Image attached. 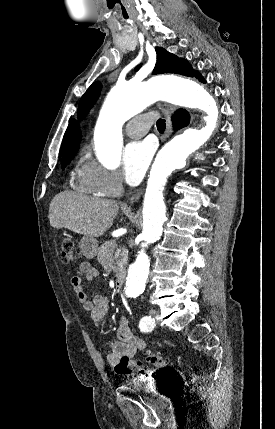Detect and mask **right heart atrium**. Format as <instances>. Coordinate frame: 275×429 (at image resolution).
I'll list each match as a JSON object with an SVG mask.
<instances>
[{"instance_id": "right-heart-atrium-1", "label": "right heart atrium", "mask_w": 275, "mask_h": 429, "mask_svg": "<svg viewBox=\"0 0 275 429\" xmlns=\"http://www.w3.org/2000/svg\"><path fill=\"white\" fill-rule=\"evenodd\" d=\"M90 177L95 187L106 196H116L123 188L120 176L97 163L91 162Z\"/></svg>"}]
</instances>
